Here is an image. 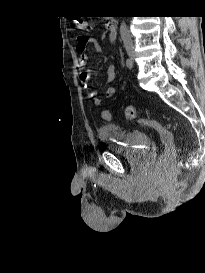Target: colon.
Masks as SVG:
<instances>
[{
	"label": "colon",
	"instance_id": "colon-1",
	"mask_svg": "<svg viewBox=\"0 0 205 273\" xmlns=\"http://www.w3.org/2000/svg\"><path fill=\"white\" fill-rule=\"evenodd\" d=\"M73 22L74 28L80 32L87 30L90 27L89 22L82 17L74 18ZM104 114L106 117H109V113L107 110H104ZM125 115L128 120L136 121L139 124L149 126L159 133L160 139L164 144V151L158 163V170L162 174L170 173L175 166L177 157V151L174 145L172 132L155 119L152 118L138 119L136 109L134 106L131 105L127 106L125 110Z\"/></svg>",
	"mask_w": 205,
	"mask_h": 273
}]
</instances>
